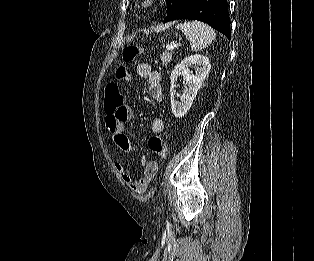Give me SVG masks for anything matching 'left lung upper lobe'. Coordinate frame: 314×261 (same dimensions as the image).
Segmentation results:
<instances>
[{"instance_id": "left-lung-upper-lobe-1", "label": "left lung upper lobe", "mask_w": 314, "mask_h": 261, "mask_svg": "<svg viewBox=\"0 0 314 261\" xmlns=\"http://www.w3.org/2000/svg\"><path fill=\"white\" fill-rule=\"evenodd\" d=\"M184 0H166L167 3V17L164 22H168L178 11Z\"/></svg>"}]
</instances>
